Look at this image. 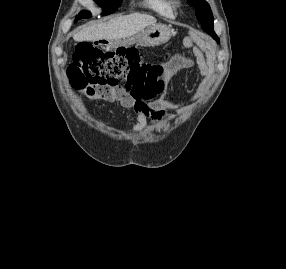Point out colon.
<instances>
[{"mask_svg": "<svg viewBox=\"0 0 286 269\" xmlns=\"http://www.w3.org/2000/svg\"><path fill=\"white\" fill-rule=\"evenodd\" d=\"M164 73L162 64L145 62L134 48L103 50L90 42L77 45L69 71L75 89L122 85L136 97L160 93L164 88Z\"/></svg>", "mask_w": 286, "mask_h": 269, "instance_id": "1", "label": "colon"}]
</instances>
